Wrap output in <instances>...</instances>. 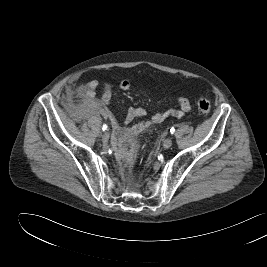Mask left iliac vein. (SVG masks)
<instances>
[{
    "instance_id": "obj_1",
    "label": "left iliac vein",
    "mask_w": 267,
    "mask_h": 267,
    "mask_svg": "<svg viewBox=\"0 0 267 267\" xmlns=\"http://www.w3.org/2000/svg\"><path fill=\"white\" fill-rule=\"evenodd\" d=\"M171 145H172V140H171V138H166V139L164 140V142H163V147H164L165 149H168V148L171 147Z\"/></svg>"
}]
</instances>
